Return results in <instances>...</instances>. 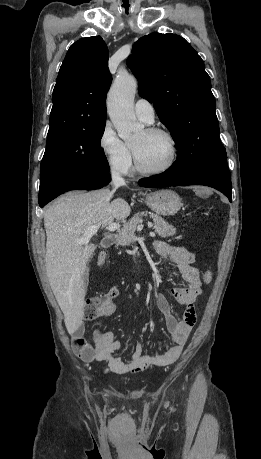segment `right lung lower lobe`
Segmentation results:
<instances>
[{"mask_svg": "<svg viewBox=\"0 0 261 459\" xmlns=\"http://www.w3.org/2000/svg\"><path fill=\"white\" fill-rule=\"evenodd\" d=\"M111 180V176L109 173L103 174H78L66 178L60 182H58L55 186H53L49 192L39 197V206L42 208L48 202L59 196L60 194L75 190V189H84V190H94L100 189L103 186L107 185Z\"/></svg>", "mask_w": 261, "mask_h": 459, "instance_id": "98d812e1", "label": "right lung lower lobe"}]
</instances>
